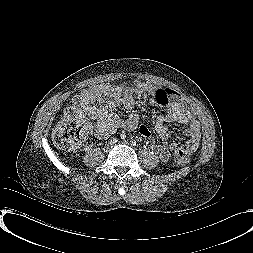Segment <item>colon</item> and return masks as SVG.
Instances as JSON below:
<instances>
[{
	"mask_svg": "<svg viewBox=\"0 0 253 253\" xmlns=\"http://www.w3.org/2000/svg\"><path fill=\"white\" fill-rule=\"evenodd\" d=\"M124 94L138 101L143 99V93L136 88L127 89ZM86 131L87 128L83 118L70 110L54 130V144L62 150H74L83 143ZM174 156L181 165L188 164L190 160L189 152L182 147L174 150Z\"/></svg>",
	"mask_w": 253,
	"mask_h": 253,
	"instance_id": "obj_1",
	"label": "colon"
}]
</instances>
